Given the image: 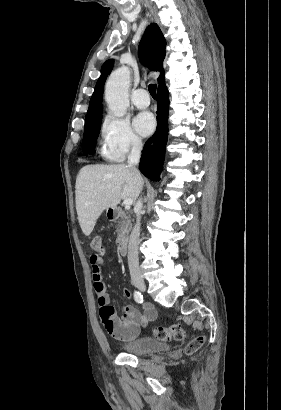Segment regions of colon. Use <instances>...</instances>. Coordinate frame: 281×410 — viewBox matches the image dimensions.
I'll return each instance as SVG.
<instances>
[{
  "label": "colon",
  "mask_w": 281,
  "mask_h": 410,
  "mask_svg": "<svg viewBox=\"0 0 281 410\" xmlns=\"http://www.w3.org/2000/svg\"><path fill=\"white\" fill-rule=\"evenodd\" d=\"M91 248L92 250L103 253L104 252V244L100 237H94L91 241ZM102 314L107 317V320L113 315L112 310H103ZM106 330H110L112 328V322L109 320L108 322L103 323ZM153 335L156 339L161 340L163 342H183L186 336L184 328L179 324H172L169 326H155L153 328ZM205 341L204 336H197L190 340L186 345V353L191 355L194 354L196 351L200 349Z\"/></svg>",
  "instance_id": "5ec220e1"
}]
</instances>
